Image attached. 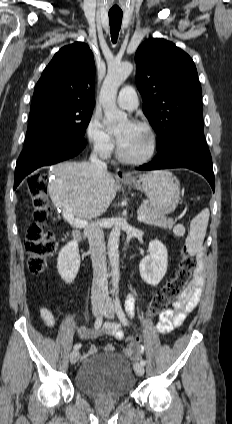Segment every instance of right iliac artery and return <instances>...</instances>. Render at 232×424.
<instances>
[{"label":"right iliac artery","instance_id":"82829eb1","mask_svg":"<svg viewBox=\"0 0 232 424\" xmlns=\"http://www.w3.org/2000/svg\"><path fill=\"white\" fill-rule=\"evenodd\" d=\"M102 322H103V317H102V315H100L95 320V323H94L95 329H99L101 327V325H102ZM80 347H81V344H75L73 348H74V350H77Z\"/></svg>","mask_w":232,"mask_h":424}]
</instances>
